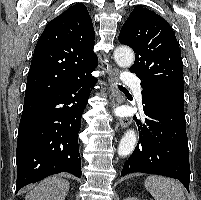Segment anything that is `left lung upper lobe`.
<instances>
[{"mask_svg": "<svg viewBox=\"0 0 201 200\" xmlns=\"http://www.w3.org/2000/svg\"><path fill=\"white\" fill-rule=\"evenodd\" d=\"M119 41L135 52L130 71L143 89L158 85L184 86L181 52L171 26L154 11L136 6L125 21Z\"/></svg>", "mask_w": 201, "mask_h": 200, "instance_id": "obj_1", "label": "left lung upper lobe"}]
</instances>
